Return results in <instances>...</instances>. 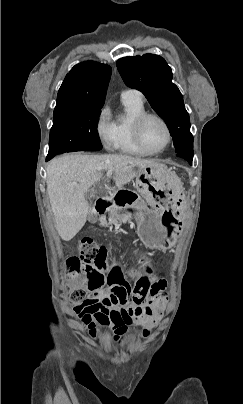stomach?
<instances>
[{"label": "stomach", "mask_w": 243, "mask_h": 404, "mask_svg": "<svg viewBox=\"0 0 243 404\" xmlns=\"http://www.w3.org/2000/svg\"><path fill=\"white\" fill-rule=\"evenodd\" d=\"M137 230L148 248L166 250L177 241L186 208L183 184L165 164L155 162L137 171ZM149 205L151 208H148Z\"/></svg>", "instance_id": "obj_1"}]
</instances>
